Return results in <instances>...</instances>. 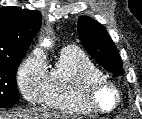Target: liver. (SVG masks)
Returning <instances> with one entry per match:
<instances>
[{"mask_svg":"<svg viewBox=\"0 0 142 119\" xmlns=\"http://www.w3.org/2000/svg\"><path fill=\"white\" fill-rule=\"evenodd\" d=\"M64 114L50 112L47 110L31 109L22 110L14 114L0 113V119H68Z\"/></svg>","mask_w":142,"mask_h":119,"instance_id":"liver-1","label":"liver"}]
</instances>
